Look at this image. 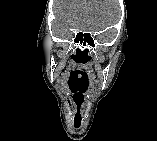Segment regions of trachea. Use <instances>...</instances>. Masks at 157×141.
<instances>
[{"label": "trachea", "instance_id": "3493384b", "mask_svg": "<svg viewBox=\"0 0 157 141\" xmlns=\"http://www.w3.org/2000/svg\"><path fill=\"white\" fill-rule=\"evenodd\" d=\"M80 126H75V128H79Z\"/></svg>", "mask_w": 157, "mask_h": 141}]
</instances>
